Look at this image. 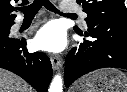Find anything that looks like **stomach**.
Returning a JSON list of instances; mask_svg holds the SVG:
<instances>
[{"label":"stomach","mask_w":127,"mask_h":92,"mask_svg":"<svg viewBox=\"0 0 127 92\" xmlns=\"http://www.w3.org/2000/svg\"><path fill=\"white\" fill-rule=\"evenodd\" d=\"M74 92H127V76L118 69H101L80 79Z\"/></svg>","instance_id":"stomach-1"}]
</instances>
